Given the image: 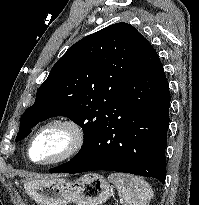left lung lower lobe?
I'll return each mask as SVG.
<instances>
[{
    "label": "left lung lower lobe",
    "instance_id": "obj_1",
    "mask_svg": "<svg viewBox=\"0 0 199 205\" xmlns=\"http://www.w3.org/2000/svg\"><path fill=\"white\" fill-rule=\"evenodd\" d=\"M170 100L162 63L144 39L123 89L106 112L101 131L87 152L60 172L110 170L164 183Z\"/></svg>",
    "mask_w": 199,
    "mask_h": 205
}]
</instances>
